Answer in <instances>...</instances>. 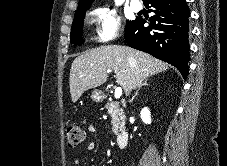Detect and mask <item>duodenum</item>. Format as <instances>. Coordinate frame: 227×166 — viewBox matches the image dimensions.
<instances>
[{"mask_svg":"<svg viewBox=\"0 0 227 166\" xmlns=\"http://www.w3.org/2000/svg\"><path fill=\"white\" fill-rule=\"evenodd\" d=\"M128 139H129L128 133L126 131H121L117 136L118 147L121 149L125 148Z\"/></svg>","mask_w":227,"mask_h":166,"instance_id":"obj_1","label":"duodenum"}]
</instances>
